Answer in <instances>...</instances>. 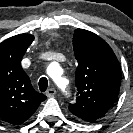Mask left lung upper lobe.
<instances>
[{"mask_svg":"<svg viewBox=\"0 0 133 133\" xmlns=\"http://www.w3.org/2000/svg\"><path fill=\"white\" fill-rule=\"evenodd\" d=\"M73 48L78 61V92L69 110L84 121L94 122L106 114L119 94L120 65L110 46L90 31L76 29Z\"/></svg>","mask_w":133,"mask_h":133,"instance_id":"5c2ea615","label":"left lung upper lobe"}]
</instances>
